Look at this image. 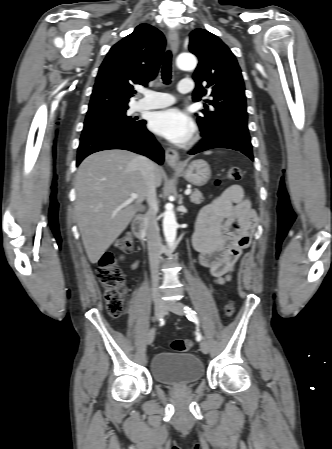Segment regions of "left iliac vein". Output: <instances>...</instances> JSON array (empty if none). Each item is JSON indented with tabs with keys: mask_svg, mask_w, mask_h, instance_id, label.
<instances>
[{
	"mask_svg": "<svg viewBox=\"0 0 332 449\" xmlns=\"http://www.w3.org/2000/svg\"><path fill=\"white\" fill-rule=\"evenodd\" d=\"M167 308L177 315H181V316L185 315L184 305L181 302H177V301L168 302ZM200 350L204 354H207L209 352V345L205 340L200 342Z\"/></svg>",
	"mask_w": 332,
	"mask_h": 449,
	"instance_id": "obj_1",
	"label": "left iliac vein"
}]
</instances>
